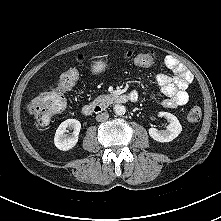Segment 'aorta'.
Returning a JSON list of instances; mask_svg holds the SVG:
<instances>
[{"label":"aorta","instance_id":"obj_1","mask_svg":"<svg viewBox=\"0 0 221 221\" xmlns=\"http://www.w3.org/2000/svg\"><path fill=\"white\" fill-rule=\"evenodd\" d=\"M113 109H114L115 114L119 116L124 115L126 112L125 106L120 105V104H116Z\"/></svg>","mask_w":221,"mask_h":221}]
</instances>
